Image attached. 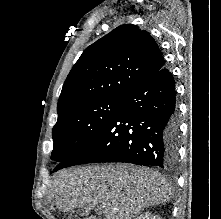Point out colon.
<instances>
[{
	"label": "colon",
	"instance_id": "5ec220e1",
	"mask_svg": "<svg viewBox=\"0 0 221 219\" xmlns=\"http://www.w3.org/2000/svg\"><path fill=\"white\" fill-rule=\"evenodd\" d=\"M69 219H94L91 215L85 214L83 212H76L70 216Z\"/></svg>",
	"mask_w": 221,
	"mask_h": 219
}]
</instances>
